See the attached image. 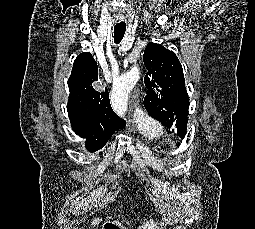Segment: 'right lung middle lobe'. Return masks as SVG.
I'll list each match as a JSON object with an SVG mask.
<instances>
[{"mask_svg": "<svg viewBox=\"0 0 255 229\" xmlns=\"http://www.w3.org/2000/svg\"><path fill=\"white\" fill-rule=\"evenodd\" d=\"M107 140H90L86 141V149L90 152H95L102 148L106 144Z\"/></svg>", "mask_w": 255, "mask_h": 229, "instance_id": "right-lung-middle-lobe-1", "label": "right lung middle lobe"}]
</instances>
